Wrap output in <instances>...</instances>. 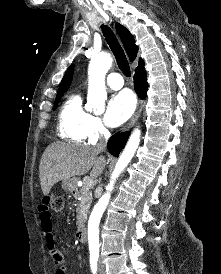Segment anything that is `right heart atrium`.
I'll use <instances>...</instances> for the list:
<instances>
[{"mask_svg":"<svg viewBox=\"0 0 221 274\" xmlns=\"http://www.w3.org/2000/svg\"><path fill=\"white\" fill-rule=\"evenodd\" d=\"M107 134V129L104 126L101 118L91 115L87 126V138L91 142H96Z\"/></svg>","mask_w":221,"mask_h":274,"instance_id":"d8ad5b80","label":"right heart atrium"}]
</instances>
